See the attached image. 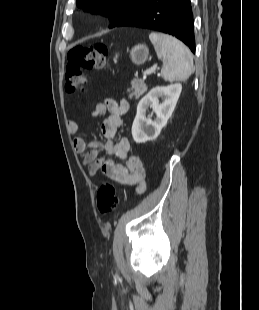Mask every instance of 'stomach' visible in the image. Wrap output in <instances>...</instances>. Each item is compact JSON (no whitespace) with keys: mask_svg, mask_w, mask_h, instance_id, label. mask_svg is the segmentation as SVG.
<instances>
[{"mask_svg":"<svg viewBox=\"0 0 259 310\" xmlns=\"http://www.w3.org/2000/svg\"><path fill=\"white\" fill-rule=\"evenodd\" d=\"M149 55V49L146 45L138 44L134 46L130 51V58L132 62L136 65H142L146 62ZM118 55L114 57V61L116 62Z\"/></svg>","mask_w":259,"mask_h":310,"instance_id":"0dacf381","label":"stomach"}]
</instances>
